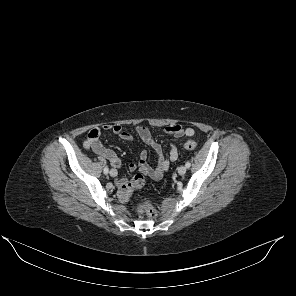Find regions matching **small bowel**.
<instances>
[{
	"mask_svg": "<svg viewBox=\"0 0 296 296\" xmlns=\"http://www.w3.org/2000/svg\"><path fill=\"white\" fill-rule=\"evenodd\" d=\"M102 130L111 131L126 141H132V136L121 125L107 124L104 125L102 128H92L83 143L85 149L92 150L97 155L107 159L114 168H119L121 166V161L118 155L113 150L105 147L99 140ZM165 132L177 138L183 136L191 137L195 133L193 128H184L180 124H172L167 126L165 128ZM135 133L145 144H147L154 150L156 154V165L155 167H152L147 163L148 153L146 150L142 149L139 151L138 163H131L129 165V170H139V172L142 173L144 176H148L155 180L160 179L163 176L164 172L168 170L170 164L178 159L179 152L177 146L175 144H171L169 157H166L161 144L155 140L153 134L148 128L144 126H137L135 128ZM126 182L128 181L123 178H119L116 181L119 188L122 184Z\"/></svg>",
	"mask_w": 296,
	"mask_h": 296,
	"instance_id": "obj_1",
	"label": "small bowel"
}]
</instances>
